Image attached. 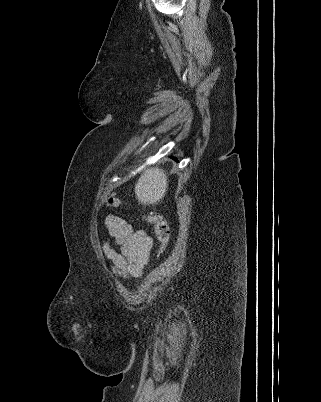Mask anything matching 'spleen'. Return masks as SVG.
<instances>
[{
    "label": "spleen",
    "mask_w": 321,
    "mask_h": 402,
    "mask_svg": "<svg viewBox=\"0 0 321 402\" xmlns=\"http://www.w3.org/2000/svg\"><path fill=\"white\" fill-rule=\"evenodd\" d=\"M167 186L165 171L154 167L145 170L140 176L135 185V194L140 203L155 204L164 197Z\"/></svg>",
    "instance_id": "1"
}]
</instances>
